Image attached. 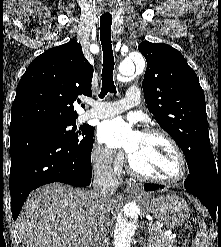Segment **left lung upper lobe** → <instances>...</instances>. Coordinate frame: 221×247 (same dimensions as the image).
<instances>
[{"mask_svg": "<svg viewBox=\"0 0 221 247\" xmlns=\"http://www.w3.org/2000/svg\"><path fill=\"white\" fill-rule=\"evenodd\" d=\"M138 49L147 61L142 83L147 107L190 165L211 150L199 79L184 56L170 45L143 41Z\"/></svg>", "mask_w": 221, "mask_h": 247, "instance_id": "1", "label": "left lung upper lobe"}]
</instances>
